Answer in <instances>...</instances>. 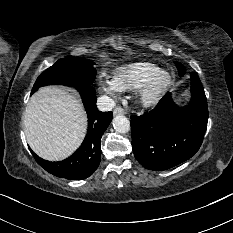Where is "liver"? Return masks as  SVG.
Segmentation results:
<instances>
[{
	"instance_id": "liver-1",
	"label": "liver",
	"mask_w": 233,
	"mask_h": 233,
	"mask_svg": "<svg viewBox=\"0 0 233 233\" xmlns=\"http://www.w3.org/2000/svg\"><path fill=\"white\" fill-rule=\"evenodd\" d=\"M87 115L69 89L48 86L30 98L24 114V132L31 149L49 161L63 160L81 145Z\"/></svg>"
}]
</instances>
